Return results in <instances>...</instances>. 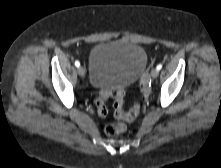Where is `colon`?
Masks as SVG:
<instances>
[{
	"mask_svg": "<svg viewBox=\"0 0 221 168\" xmlns=\"http://www.w3.org/2000/svg\"><path fill=\"white\" fill-rule=\"evenodd\" d=\"M140 90L146 96L150 90L149 80L147 75H143L140 81ZM109 96L114 97V115L121 121L130 122L135 120L140 114L141 105L133 104L128 110H124L125 90L122 87H112L101 93L96 99V111L100 116H105L108 112L106 101ZM124 130L123 123H110L105 126V133L108 136H116Z\"/></svg>",
	"mask_w": 221,
	"mask_h": 168,
	"instance_id": "colon-1",
	"label": "colon"
}]
</instances>
